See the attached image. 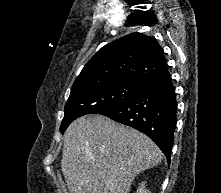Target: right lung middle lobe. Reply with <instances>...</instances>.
Segmentation results:
<instances>
[{"label": "right lung middle lobe", "instance_id": "1", "mask_svg": "<svg viewBox=\"0 0 221 193\" xmlns=\"http://www.w3.org/2000/svg\"><path fill=\"white\" fill-rule=\"evenodd\" d=\"M142 84L117 82L71 90L66 102L60 132L63 134L69 124L86 114H96L120 105L135 96Z\"/></svg>", "mask_w": 221, "mask_h": 193}]
</instances>
